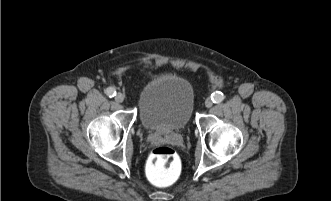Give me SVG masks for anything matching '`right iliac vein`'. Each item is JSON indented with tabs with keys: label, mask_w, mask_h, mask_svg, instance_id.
Listing matches in <instances>:
<instances>
[{
	"label": "right iliac vein",
	"mask_w": 331,
	"mask_h": 201,
	"mask_svg": "<svg viewBox=\"0 0 331 201\" xmlns=\"http://www.w3.org/2000/svg\"><path fill=\"white\" fill-rule=\"evenodd\" d=\"M115 101L118 103H122L124 101V95L122 93H117V95L115 96Z\"/></svg>",
	"instance_id": "obj_1"
}]
</instances>
